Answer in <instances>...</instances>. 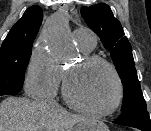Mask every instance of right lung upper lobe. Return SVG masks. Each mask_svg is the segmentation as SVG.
Returning <instances> with one entry per match:
<instances>
[{
  "mask_svg": "<svg viewBox=\"0 0 151 131\" xmlns=\"http://www.w3.org/2000/svg\"><path fill=\"white\" fill-rule=\"evenodd\" d=\"M43 20L39 6L29 7L11 28L2 45H32Z\"/></svg>",
  "mask_w": 151,
  "mask_h": 131,
  "instance_id": "1",
  "label": "right lung upper lobe"
}]
</instances>
